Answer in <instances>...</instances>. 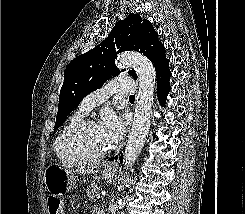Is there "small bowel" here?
<instances>
[{"instance_id": "c3829d8e", "label": "small bowel", "mask_w": 245, "mask_h": 214, "mask_svg": "<svg viewBox=\"0 0 245 214\" xmlns=\"http://www.w3.org/2000/svg\"><path fill=\"white\" fill-rule=\"evenodd\" d=\"M91 214H104L99 208H93Z\"/></svg>"}]
</instances>
